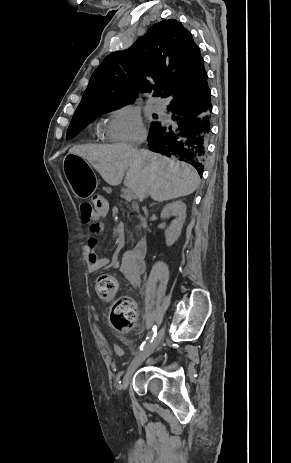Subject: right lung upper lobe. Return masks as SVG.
Listing matches in <instances>:
<instances>
[{
	"mask_svg": "<svg viewBox=\"0 0 291 463\" xmlns=\"http://www.w3.org/2000/svg\"><path fill=\"white\" fill-rule=\"evenodd\" d=\"M205 74L200 49L191 33L177 20H163L151 26L130 48L103 60L77 109L133 102L140 90H154V95L164 90L170 105L195 103L205 91Z\"/></svg>",
	"mask_w": 291,
	"mask_h": 463,
	"instance_id": "right-lung-upper-lobe-1",
	"label": "right lung upper lobe"
}]
</instances>
